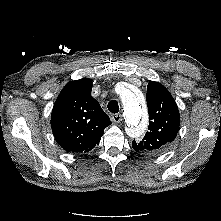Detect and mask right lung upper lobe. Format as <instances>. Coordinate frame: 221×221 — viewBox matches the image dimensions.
<instances>
[{"instance_id": "obj_1", "label": "right lung upper lobe", "mask_w": 221, "mask_h": 221, "mask_svg": "<svg viewBox=\"0 0 221 221\" xmlns=\"http://www.w3.org/2000/svg\"><path fill=\"white\" fill-rule=\"evenodd\" d=\"M91 90V79L71 81L53 106L51 128L57 143L67 152L92 150L111 124L108 115L91 96Z\"/></svg>"}]
</instances>
